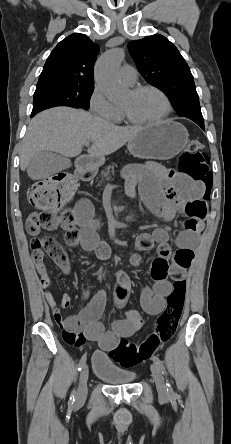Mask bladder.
I'll list each match as a JSON object with an SVG mask.
<instances>
[{
    "label": "bladder",
    "mask_w": 231,
    "mask_h": 444,
    "mask_svg": "<svg viewBox=\"0 0 231 444\" xmlns=\"http://www.w3.org/2000/svg\"><path fill=\"white\" fill-rule=\"evenodd\" d=\"M93 374L110 385H127L136 380L137 374L119 367L116 362L103 352L93 355Z\"/></svg>",
    "instance_id": "obj_1"
}]
</instances>
